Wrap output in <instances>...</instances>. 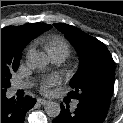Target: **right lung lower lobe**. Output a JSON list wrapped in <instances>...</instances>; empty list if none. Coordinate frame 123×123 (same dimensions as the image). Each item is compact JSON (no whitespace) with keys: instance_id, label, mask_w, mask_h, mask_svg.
I'll return each instance as SVG.
<instances>
[{"instance_id":"98d812e1","label":"right lung lower lobe","mask_w":123,"mask_h":123,"mask_svg":"<svg viewBox=\"0 0 123 123\" xmlns=\"http://www.w3.org/2000/svg\"><path fill=\"white\" fill-rule=\"evenodd\" d=\"M36 103V100L26 96L25 98L12 97L8 99L6 94L1 95V123H24L25 115Z\"/></svg>"}]
</instances>
